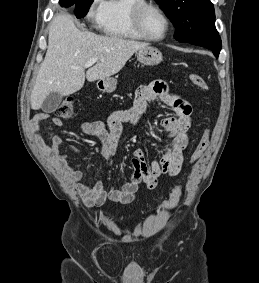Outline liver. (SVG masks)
Here are the masks:
<instances>
[{
    "label": "liver",
    "mask_w": 259,
    "mask_h": 283,
    "mask_svg": "<svg viewBox=\"0 0 259 283\" xmlns=\"http://www.w3.org/2000/svg\"><path fill=\"white\" fill-rule=\"evenodd\" d=\"M147 46L145 42L80 31L71 15H56L50 24L47 52L31 93V108L39 110L51 93L67 96L79 91L85 78L93 82L115 75L135 52ZM93 58L98 61L85 74V63Z\"/></svg>",
    "instance_id": "obj_1"
}]
</instances>
